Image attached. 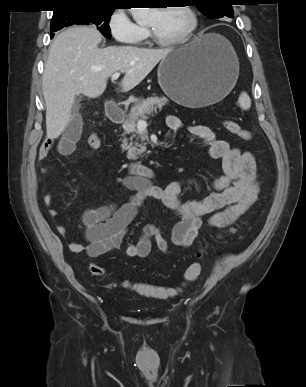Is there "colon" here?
Listing matches in <instances>:
<instances>
[{
    "label": "colon",
    "instance_id": "colon-1",
    "mask_svg": "<svg viewBox=\"0 0 306 387\" xmlns=\"http://www.w3.org/2000/svg\"><path fill=\"white\" fill-rule=\"evenodd\" d=\"M222 125L225 130L234 136H237L243 140H250L251 133L248 130L243 129L237 122L232 120H224ZM87 144L93 149H98L101 146V138L97 133H92L87 139ZM230 232H234L235 228L231 227ZM203 249L198 253V258L201 257ZM90 271L94 276L102 277L105 275V270L99 265H91ZM202 272V265L199 261L191 263L185 270L184 283L188 284L194 282ZM121 285L127 289L132 290L138 295L156 298V299H167L175 296L178 293V289L173 287L157 286L146 282H131L123 281Z\"/></svg>",
    "mask_w": 306,
    "mask_h": 387
}]
</instances>
